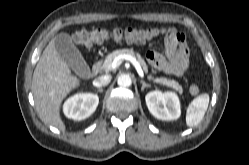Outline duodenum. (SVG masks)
I'll return each mask as SVG.
<instances>
[{
  "mask_svg": "<svg viewBox=\"0 0 249 165\" xmlns=\"http://www.w3.org/2000/svg\"><path fill=\"white\" fill-rule=\"evenodd\" d=\"M101 68V62L100 61H96L93 63L92 67H91V74L94 76L96 75Z\"/></svg>",
  "mask_w": 249,
  "mask_h": 165,
  "instance_id": "obj_1",
  "label": "duodenum"
}]
</instances>
